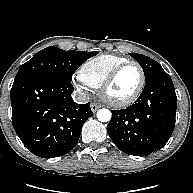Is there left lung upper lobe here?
<instances>
[{
  "label": "left lung upper lobe",
  "instance_id": "obj_1",
  "mask_svg": "<svg viewBox=\"0 0 193 193\" xmlns=\"http://www.w3.org/2000/svg\"><path fill=\"white\" fill-rule=\"evenodd\" d=\"M130 56L135 58L137 62L142 66L145 74V81L150 79L158 71L163 70L159 63L145 55L131 53Z\"/></svg>",
  "mask_w": 193,
  "mask_h": 193
}]
</instances>
